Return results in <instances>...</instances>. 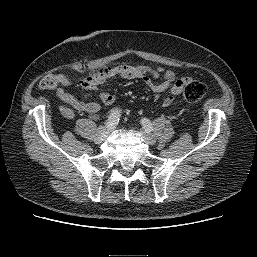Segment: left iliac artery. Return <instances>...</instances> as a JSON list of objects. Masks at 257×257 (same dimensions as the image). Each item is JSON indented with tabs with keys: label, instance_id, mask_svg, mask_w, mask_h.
<instances>
[{
	"label": "left iliac artery",
	"instance_id": "left-iliac-artery-1",
	"mask_svg": "<svg viewBox=\"0 0 257 257\" xmlns=\"http://www.w3.org/2000/svg\"><path fill=\"white\" fill-rule=\"evenodd\" d=\"M141 124H142L143 128L145 129V131L151 132L153 130L152 123L148 119L143 118L141 120Z\"/></svg>",
	"mask_w": 257,
	"mask_h": 257
}]
</instances>
